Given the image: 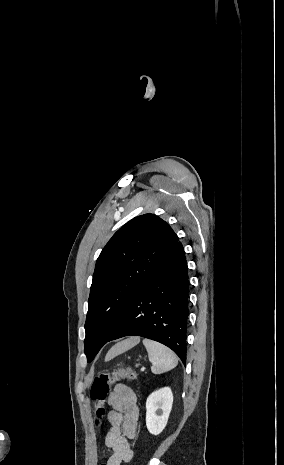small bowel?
<instances>
[{"label":"small bowel","mask_w":284,"mask_h":465,"mask_svg":"<svg viewBox=\"0 0 284 465\" xmlns=\"http://www.w3.org/2000/svg\"><path fill=\"white\" fill-rule=\"evenodd\" d=\"M111 410L108 412L109 431L104 438L109 457L105 465H121L129 462L134 451L129 440L137 435L139 408L134 391L127 385L119 383L109 396Z\"/></svg>","instance_id":"small-bowel-1"}]
</instances>
